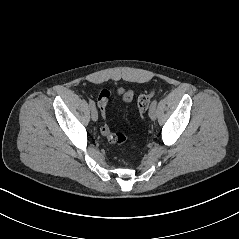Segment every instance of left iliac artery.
Here are the masks:
<instances>
[{
    "instance_id": "left-iliac-artery-1",
    "label": "left iliac artery",
    "mask_w": 239,
    "mask_h": 239,
    "mask_svg": "<svg viewBox=\"0 0 239 239\" xmlns=\"http://www.w3.org/2000/svg\"><path fill=\"white\" fill-rule=\"evenodd\" d=\"M156 105H157V99H154L151 103L150 109L151 108H156Z\"/></svg>"
}]
</instances>
